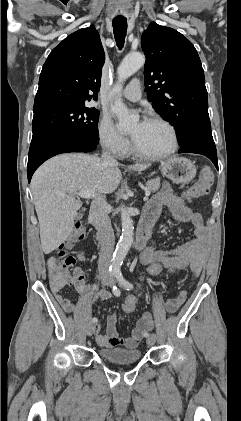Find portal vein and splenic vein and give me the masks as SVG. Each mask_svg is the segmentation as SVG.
Returning a JSON list of instances; mask_svg holds the SVG:
<instances>
[{
    "label": "portal vein and splenic vein",
    "mask_w": 241,
    "mask_h": 421,
    "mask_svg": "<svg viewBox=\"0 0 241 421\" xmlns=\"http://www.w3.org/2000/svg\"><path fill=\"white\" fill-rule=\"evenodd\" d=\"M145 195H146L145 199H147L148 196L150 195V191L149 190H146L145 191ZM77 196H79L81 198H87V199H89V198H94L95 197V194L92 191H81V192H78L77 193ZM63 197H65V195H63Z\"/></svg>",
    "instance_id": "18ae733b"
}]
</instances>
